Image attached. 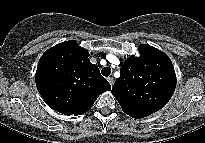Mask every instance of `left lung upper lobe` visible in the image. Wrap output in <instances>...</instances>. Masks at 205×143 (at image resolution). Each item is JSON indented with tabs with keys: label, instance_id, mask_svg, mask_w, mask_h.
<instances>
[{
	"label": "left lung upper lobe",
	"instance_id": "left-lung-upper-lobe-1",
	"mask_svg": "<svg viewBox=\"0 0 205 143\" xmlns=\"http://www.w3.org/2000/svg\"><path fill=\"white\" fill-rule=\"evenodd\" d=\"M140 56H131L120 69L111 90L123 111L133 118L148 116L163 108L176 87L170 58L150 45H140Z\"/></svg>",
	"mask_w": 205,
	"mask_h": 143
}]
</instances>
